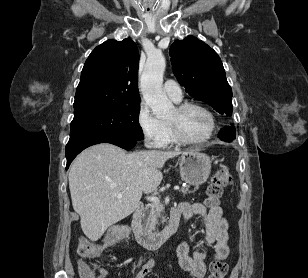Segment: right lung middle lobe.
Wrapping results in <instances>:
<instances>
[{"label":"right lung middle lobe","mask_w":308,"mask_h":278,"mask_svg":"<svg viewBox=\"0 0 308 278\" xmlns=\"http://www.w3.org/2000/svg\"><path fill=\"white\" fill-rule=\"evenodd\" d=\"M140 104L121 105L74 115L70 139L90 136H122L135 140L144 139L138 123Z\"/></svg>","instance_id":"obj_1"}]
</instances>
